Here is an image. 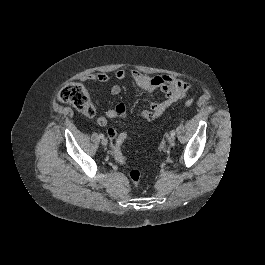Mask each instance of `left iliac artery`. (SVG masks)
Wrapping results in <instances>:
<instances>
[{"label":"left iliac artery","instance_id":"obj_1","mask_svg":"<svg viewBox=\"0 0 265 265\" xmlns=\"http://www.w3.org/2000/svg\"><path fill=\"white\" fill-rule=\"evenodd\" d=\"M175 133H176L175 130L171 131V135H175Z\"/></svg>","mask_w":265,"mask_h":265}]
</instances>
